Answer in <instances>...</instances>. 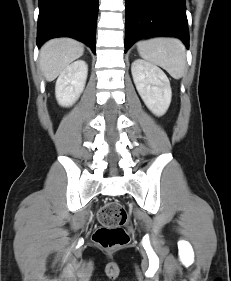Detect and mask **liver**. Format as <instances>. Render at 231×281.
<instances>
[{
    "instance_id": "obj_1",
    "label": "liver",
    "mask_w": 231,
    "mask_h": 281,
    "mask_svg": "<svg viewBox=\"0 0 231 281\" xmlns=\"http://www.w3.org/2000/svg\"><path fill=\"white\" fill-rule=\"evenodd\" d=\"M83 44L70 38L47 41L40 50V68L47 81H53L74 60L83 55Z\"/></svg>"
}]
</instances>
